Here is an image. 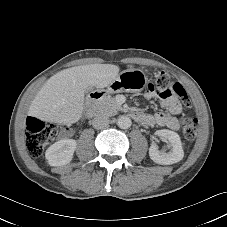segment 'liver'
<instances>
[{"instance_id": "liver-1", "label": "liver", "mask_w": 227, "mask_h": 227, "mask_svg": "<svg viewBox=\"0 0 227 227\" xmlns=\"http://www.w3.org/2000/svg\"><path fill=\"white\" fill-rule=\"evenodd\" d=\"M118 73L119 67L112 64L64 69L43 85L30 105L29 114L50 123H75L82 117L84 94L88 87L105 88Z\"/></svg>"}]
</instances>
